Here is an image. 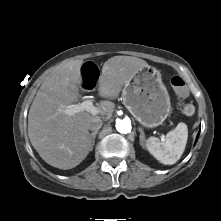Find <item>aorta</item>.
I'll return each instance as SVG.
<instances>
[{
  "label": "aorta",
  "mask_w": 221,
  "mask_h": 221,
  "mask_svg": "<svg viewBox=\"0 0 221 221\" xmlns=\"http://www.w3.org/2000/svg\"><path fill=\"white\" fill-rule=\"evenodd\" d=\"M131 128V122L127 120H118L116 122V130L122 134L130 133Z\"/></svg>",
  "instance_id": "obj_1"
}]
</instances>
